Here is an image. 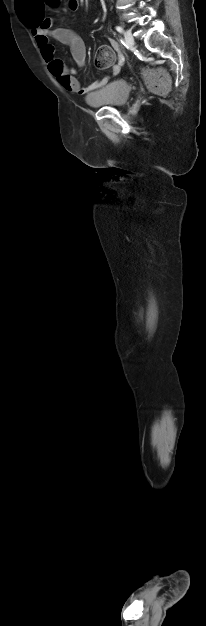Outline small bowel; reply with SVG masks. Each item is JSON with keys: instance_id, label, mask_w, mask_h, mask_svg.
Wrapping results in <instances>:
<instances>
[{"instance_id": "c3829d8e", "label": "small bowel", "mask_w": 206, "mask_h": 626, "mask_svg": "<svg viewBox=\"0 0 206 626\" xmlns=\"http://www.w3.org/2000/svg\"><path fill=\"white\" fill-rule=\"evenodd\" d=\"M79 7L78 0H69L68 8L71 11L77 10ZM29 20L33 22L32 25L27 26L31 28L34 39L40 50V53L48 65V69L51 74L58 80L60 85L67 91L75 94H85L102 88L109 80V76H105L98 81L92 83L88 87H81L79 81L75 77V71L65 64L61 59L55 57V50L53 44L50 42V38L59 41L62 44L70 47L71 55L75 63L79 67H83L86 63V47L81 37L72 29L69 28H54V21L51 17H44L41 12L36 11L33 13ZM110 46L115 51L118 64L113 67L112 74L116 75L120 66L124 62V57L120 51L117 42L112 41Z\"/></svg>"}]
</instances>
